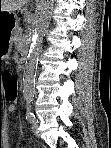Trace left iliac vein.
<instances>
[{
	"label": "left iliac vein",
	"mask_w": 111,
	"mask_h": 148,
	"mask_svg": "<svg viewBox=\"0 0 111 148\" xmlns=\"http://www.w3.org/2000/svg\"><path fill=\"white\" fill-rule=\"evenodd\" d=\"M37 129H38V123L36 121H34L32 123V131L37 134Z\"/></svg>",
	"instance_id": "4c4485c4"
}]
</instances>
